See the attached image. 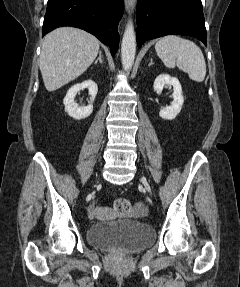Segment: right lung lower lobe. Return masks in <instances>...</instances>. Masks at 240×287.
Masks as SVG:
<instances>
[{"instance_id": "obj_1", "label": "right lung lower lobe", "mask_w": 240, "mask_h": 287, "mask_svg": "<svg viewBox=\"0 0 240 287\" xmlns=\"http://www.w3.org/2000/svg\"><path fill=\"white\" fill-rule=\"evenodd\" d=\"M123 11L124 0H48L43 36L57 27H77L108 45L114 56L119 45L117 26Z\"/></svg>"}]
</instances>
